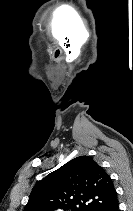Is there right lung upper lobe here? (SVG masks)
Here are the masks:
<instances>
[{"mask_svg":"<svg viewBox=\"0 0 133 211\" xmlns=\"http://www.w3.org/2000/svg\"><path fill=\"white\" fill-rule=\"evenodd\" d=\"M117 202L106 171L93 158L80 156L40 181L24 211H107Z\"/></svg>","mask_w":133,"mask_h":211,"instance_id":"1","label":"right lung upper lobe"}]
</instances>
